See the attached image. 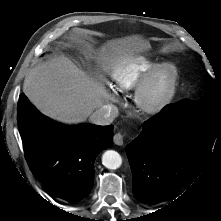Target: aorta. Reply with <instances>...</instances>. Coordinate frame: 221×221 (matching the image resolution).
Masks as SVG:
<instances>
[{"label": "aorta", "mask_w": 221, "mask_h": 221, "mask_svg": "<svg viewBox=\"0 0 221 221\" xmlns=\"http://www.w3.org/2000/svg\"><path fill=\"white\" fill-rule=\"evenodd\" d=\"M102 163L108 169H117L122 164V158L118 152L107 150L102 156Z\"/></svg>", "instance_id": "1"}]
</instances>
